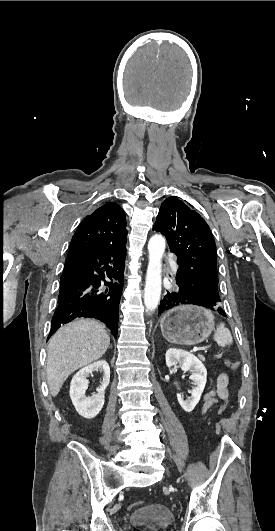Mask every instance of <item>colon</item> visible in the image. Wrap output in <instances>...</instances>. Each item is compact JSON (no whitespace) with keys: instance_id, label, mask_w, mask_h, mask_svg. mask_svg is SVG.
I'll use <instances>...</instances> for the list:
<instances>
[{"instance_id":"5ec220e1","label":"colon","mask_w":275,"mask_h":531,"mask_svg":"<svg viewBox=\"0 0 275 531\" xmlns=\"http://www.w3.org/2000/svg\"><path fill=\"white\" fill-rule=\"evenodd\" d=\"M225 365L227 368L231 369V370H238L239 368V362L234 360V359H228L225 361ZM228 407H229V404H228V400L226 398H223L217 408H216V412H215V415L216 417L218 418H221L223 417L224 414L227 413L228 411ZM143 502L141 500H137L135 502H133L132 506H139V505H142Z\"/></svg>"}]
</instances>
